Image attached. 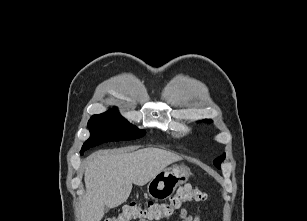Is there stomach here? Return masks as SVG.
Listing matches in <instances>:
<instances>
[{
  "mask_svg": "<svg viewBox=\"0 0 307 221\" xmlns=\"http://www.w3.org/2000/svg\"><path fill=\"white\" fill-rule=\"evenodd\" d=\"M190 175V169L184 165L165 168L149 181L147 192L154 199L165 200L171 197L177 186L185 183Z\"/></svg>",
  "mask_w": 307,
  "mask_h": 221,
  "instance_id": "1",
  "label": "stomach"
}]
</instances>
